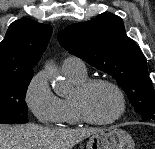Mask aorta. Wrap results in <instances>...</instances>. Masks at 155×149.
<instances>
[{
	"label": "aorta",
	"mask_w": 155,
	"mask_h": 149,
	"mask_svg": "<svg viewBox=\"0 0 155 149\" xmlns=\"http://www.w3.org/2000/svg\"><path fill=\"white\" fill-rule=\"evenodd\" d=\"M45 72L51 80L53 90L59 96L68 94L70 90V83L68 80L60 74V71L53 63H47L45 65Z\"/></svg>",
	"instance_id": "1"
}]
</instances>
